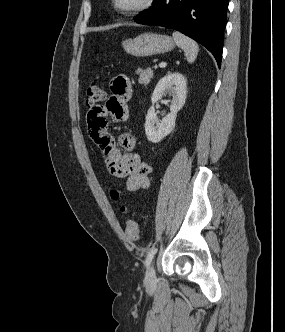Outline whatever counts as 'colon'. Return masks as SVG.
<instances>
[{"instance_id":"colon-1","label":"colon","mask_w":285,"mask_h":332,"mask_svg":"<svg viewBox=\"0 0 285 332\" xmlns=\"http://www.w3.org/2000/svg\"><path fill=\"white\" fill-rule=\"evenodd\" d=\"M85 97L87 106L95 108L105 99L106 91L100 83L94 82L86 88ZM110 195L112 199L117 200L120 198V191L112 189ZM121 211L125 212L126 207L122 206ZM125 234L131 241L137 240L140 234L139 223L133 219L129 220L125 227Z\"/></svg>"}]
</instances>
